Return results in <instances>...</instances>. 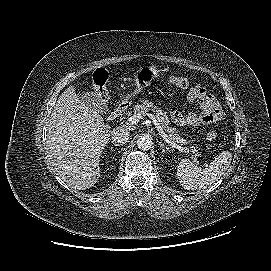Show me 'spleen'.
Here are the masks:
<instances>
[{
    "label": "spleen",
    "mask_w": 271,
    "mask_h": 271,
    "mask_svg": "<svg viewBox=\"0 0 271 271\" xmlns=\"http://www.w3.org/2000/svg\"><path fill=\"white\" fill-rule=\"evenodd\" d=\"M232 160L230 151L221 152L204 169L189 159L180 161L177 167L179 182L186 190H200L216 182L228 169Z\"/></svg>",
    "instance_id": "3e777b00"
}]
</instances>
